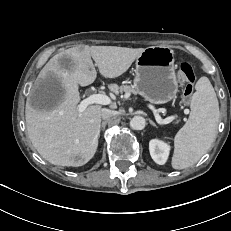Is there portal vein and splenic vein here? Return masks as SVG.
Segmentation results:
<instances>
[{
	"mask_svg": "<svg viewBox=\"0 0 231 231\" xmlns=\"http://www.w3.org/2000/svg\"><path fill=\"white\" fill-rule=\"evenodd\" d=\"M109 103H110V98L107 95L100 94V93L92 94V95L88 96L87 98L83 99L82 101H80V103L78 105V113L84 112L85 109L89 105H92V104L107 105ZM154 115H155V119H156L157 123H159L161 125H166L175 119L174 116H170L166 119H162L159 116V114L156 112V110H154Z\"/></svg>",
	"mask_w": 231,
	"mask_h": 231,
	"instance_id": "obj_1",
	"label": "portal vein and splenic vein"
}]
</instances>
